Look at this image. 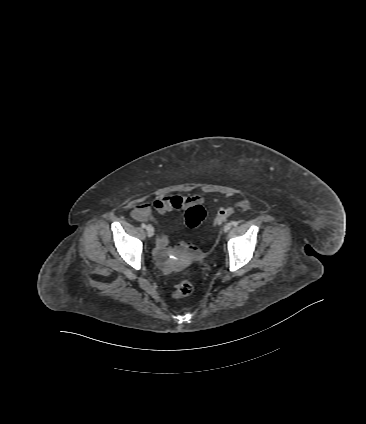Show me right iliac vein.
Here are the masks:
<instances>
[{"label":"right iliac vein","instance_id":"1","mask_svg":"<svg viewBox=\"0 0 366 424\" xmlns=\"http://www.w3.org/2000/svg\"><path fill=\"white\" fill-rule=\"evenodd\" d=\"M148 236L152 237L154 235V228L151 225L146 227Z\"/></svg>","mask_w":366,"mask_h":424}]
</instances>
